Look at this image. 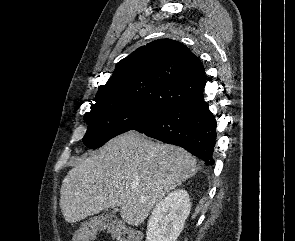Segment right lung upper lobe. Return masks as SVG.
<instances>
[{"mask_svg": "<svg viewBox=\"0 0 295 241\" xmlns=\"http://www.w3.org/2000/svg\"><path fill=\"white\" fill-rule=\"evenodd\" d=\"M206 84L200 59L185 45L159 39L122 59L97 95H113L167 109L203 95Z\"/></svg>", "mask_w": 295, "mask_h": 241, "instance_id": "1", "label": "right lung upper lobe"}]
</instances>
